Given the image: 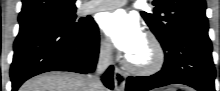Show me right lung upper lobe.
Masks as SVG:
<instances>
[{
  "mask_svg": "<svg viewBox=\"0 0 220 91\" xmlns=\"http://www.w3.org/2000/svg\"><path fill=\"white\" fill-rule=\"evenodd\" d=\"M75 0H23L19 23L35 21L48 14L76 8Z\"/></svg>",
  "mask_w": 220,
  "mask_h": 91,
  "instance_id": "1",
  "label": "right lung upper lobe"
}]
</instances>
